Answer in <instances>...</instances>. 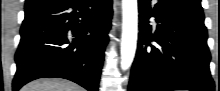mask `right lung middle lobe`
I'll return each instance as SVG.
<instances>
[{"mask_svg":"<svg viewBox=\"0 0 220 91\" xmlns=\"http://www.w3.org/2000/svg\"><path fill=\"white\" fill-rule=\"evenodd\" d=\"M38 4H42V3H36L35 0H27L26 4H25V7H31V6H35V5H38Z\"/></svg>","mask_w":220,"mask_h":91,"instance_id":"1","label":"right lung middle lobe"}]
</instances>
